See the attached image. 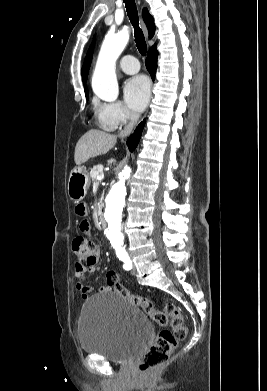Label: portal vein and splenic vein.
I'll use <instances>...</instances> for the list:
<instances>
[{
  "label": "portal vein and splenic vein",
  "instance_id": "1",
  "mask_svg": "<svg viewBox=\"0 0 267 391\" xmlns=\"http://www.w3.org/2000/svg\"><path fill=\"white\" fill-rule=\"evenodd\" d=\"M103 178H104V175H103V174L97 176V179H98V180H102Z\"/></svg>",
  "mask_w": 267,
  "mask_h": 391
}]
</instances>
